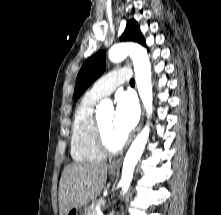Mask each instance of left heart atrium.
Segmentation results:
<instances>
[{"mask_svg": "<svg viewBox=\"0 0 221 215\" xmlns=\"http://www.w3.org/2000/svg\"><path fill=\"white\" fill-rule=\"evenodd\" d=\"M139 119V108L135 97L128 92L119 93L116 97V109L113 118L115 133L126 138L134 129Z\"/></svg>", "mask_w": 221, "mask_h": 215, "instance_id": "left-heart-atrium-1", "label": "left heart atrium"}]
</instances>
